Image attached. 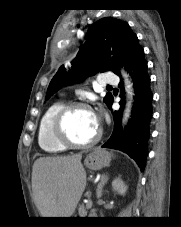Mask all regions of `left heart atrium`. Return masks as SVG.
Instances as JSON below:
<instances>
[{
    "instance_id": "1",
    "label": "left heart atrium",
    "mask_w": 181,
    "mask_h": 227,
    "mask_svg": "<svg viewBox=\"0 0 181 227\" xmlns=\"http://www.w3.org/2000/svg\"><path fill=\"white\" fill-rule=\"evenodd\" d=\"M94 118H95L96 124L98 125L99 124V118L96 115H94Z\"/></svg>"
}]
</instances>
